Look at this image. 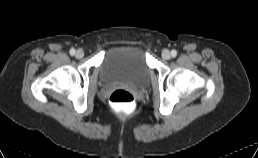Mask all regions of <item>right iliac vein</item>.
I'll return each mask as SVG.
<instances>
[{"label": "right iliac vein", "instance_id": "right-iliac-vein-1", "mask_svg": "<svg viewBox=\"0 0 258 158\" xmlns=\"http://www.w3.org/2000/svg\"><path fill=\"white\" fill-rule=\"evenodd\" d=\"M83 56H84V51L82 49H78L76 52V57L80 59Z\"/></svg>", "mask_w": 258, "mask_h": 158}]
</instances>
